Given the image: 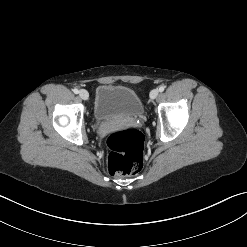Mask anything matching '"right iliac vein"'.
<instances>
[{
    "instance_id": "63e3f726",
    "label": "right iliac vein",
    "mask_w": 247,
    "mask_h": 247,
    "mask_svg": "<svg viewBox=\"0 0 247 247\" xmlns=\"http://www.w3.org/2000/svg\"><path fill=\"white\" fill-rule=\"evenodd\" d=\"M79 96L81 99L87 100L89 98V93L85 89H82L79 91Z\"/></svg>"
}]
</instances>
